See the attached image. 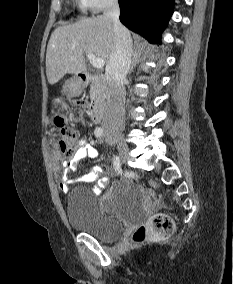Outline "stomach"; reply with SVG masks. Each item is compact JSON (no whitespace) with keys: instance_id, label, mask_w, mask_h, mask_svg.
Wrapping results in <instances>:
<instances>
[{"instance_id":"1","label":"stomach","mask_w":233,"mask_h":284,"mask_svg":"<svg viewBox=\"0 0 233 284\" xmlns=\"http://www.w3.org/2000/svg\"><path fill=\"white\" fill-rule=\"evenodd\" d=\"M81 90H82L81 85L75 81H67L63 86V91L71 95H76L80 93Z\"/></svg>"}]
</instances>
